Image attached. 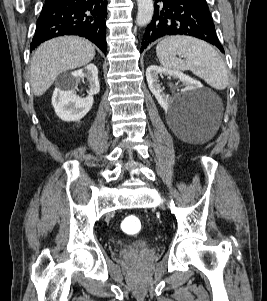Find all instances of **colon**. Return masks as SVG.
I'll return each mask as SVG.
<instances>
[{"mask_svg":"<svg viewBox=\"0 0 267 301\" xmlns=\"http://www.w3.org/2000/svg\"><path fill=\"white\" fill-rule=\"evenodd\" d=\"M141 227H142L141 220L136 215L126 216L121 223L122 231L129 235H135L139 233Z\"/></svg>","mask_w":267,"mask_h":301,"instance_id":"obj_1","label":"colon"}]
</instances>
